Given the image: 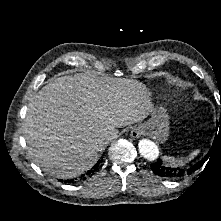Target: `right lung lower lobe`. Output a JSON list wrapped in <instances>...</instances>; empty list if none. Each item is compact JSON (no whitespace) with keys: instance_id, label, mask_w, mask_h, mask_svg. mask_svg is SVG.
<instances>
[{"instance_id":"98d812e1","label":"right lung lower lobe","mask_w":221,"mask_h":221,"mask_svg":"<svg viewBox=\"0 0 221 221\" xmlns=\"http://www.w3.org/2000/svg\"><path fill=\"white\" fill-rule=\"evenodd\" d=\"M100 162H102V160H99V161L93 166V168L86 173V175H92V174L95 172V170H97V168H98ZM82 178H83V179H86L85 175H82ZM65 182H66V181H65ZM67 182H69V183H70V182H74V180H68Z\"/></svg>"}]
</instances>
